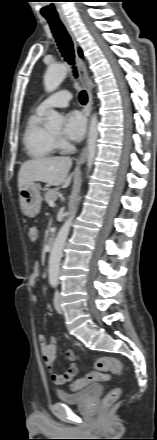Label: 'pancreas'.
<instances>
[{
  "instance_id": "cf45deb5",
  "label": "pancreas",
  "mask_w": 157,
  "mask_h": 440,
  "mask_svg": "<svg viewBox=\"0 0 157 440\" xmlns=\"http://www.w3.org/2000/svg\"><path fill=\"white\" fill-rule=\"evenodd\" d=\"M58 189H51L49 191H47L44 195V199L45 201L49 204L51 201H55L58 197Z\"/></svg>"
}]
</instances>
